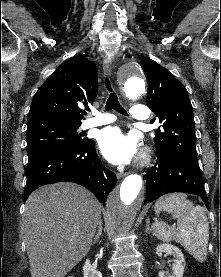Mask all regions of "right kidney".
I'll return each instance as SVG.
<instances>
[{
    "mask_svg": "<svg viewBox=\"0 0 221 277\" xmlns=\"http://www.w3.org/2000/svg\"><path fill=\"white\" fill-rule=\"evenodd\" d=\"M83 274L84 277H102L101 272L96 270V268L92 267L89 259L85 261V264L83 266Z\"/></svg>",
    "mask_w": 221,
    "mask_h": 277,
    "instance_id": "obj_1",
    "label": "right kidney"
}]
</instances>
